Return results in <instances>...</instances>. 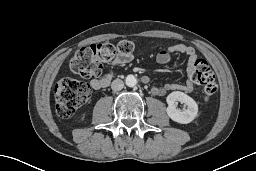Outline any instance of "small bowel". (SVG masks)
<instances>
[{
    "instance_id": "small-bowel-1",
    "label": "small bowel",
    "mask_w": 256,
    "mask_h": 171,
    "mask_svg": "<svg viewBox=\"0 0 256 171\" xmlns=\"http://www.w3.org/2000/svg\"><path fill=\"white\" fill-rule=\"evenodd\" d=\"M173 54H185L188 56V73L191 74L194 68L195 62L198 60V55L194 47L186 44L178 43L173 45H167L161 49L156 60L159 64H167L170 62ZM132 55H118L113 61V65H125L132 60ZM113 77L111 71L107 72L103 77L93 78L90 81V85L94 90H101L106 88ZM147 78V77H146ZM193 88L191 82L187 81L185 84L166 83L163 86H153L151 91L155 95H164L165 93L173 90H181L185 92L191 91Z\"/></svg>"
}]
</instances>
